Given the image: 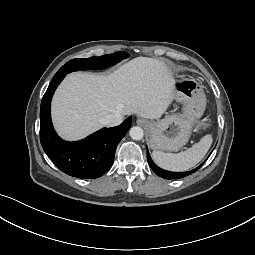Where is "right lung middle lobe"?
Masks as SVG:
<instances>
[{"instance_id": "right-lung-middle-lobe-1", "label": "right lung middle lobe", "mask_w": 255, "mask_h": 255, "mask_svg": "<svg viewBox=\"0 0 255 255\" xmlns=\"http://www.w3.org/2000/svg\"><path fill=\"white\" fill-rule=\"evenodd\" d=\"M129 56L126 52H117L113 54L103 55L100 57H91L87 59H73L63 65L55 75L62 73H70L78 70L102 69L120 62Z\"/></svg>"}]
</instances>
